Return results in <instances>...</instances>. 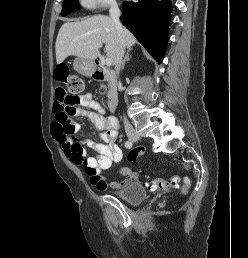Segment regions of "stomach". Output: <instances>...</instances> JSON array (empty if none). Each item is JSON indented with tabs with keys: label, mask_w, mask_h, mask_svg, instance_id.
Segmentation results:
<instances>
[{
	"label": "stomach",
	"mask_w": 248,
	"mask_h": 258,
	"mask_svg": "<svg viewBox=\"0 0 248 258\" xmlns=\"http://www.w3.org/2000/svg\"><path fill=\"white\" fill-rule=\"evenodd\" d=\"M74 69L85 76H92L95 72L94 62L91 60L76 58L73 63Z\"/></svg>",
	"instance_id": "obj_1"
}]
</instances>
